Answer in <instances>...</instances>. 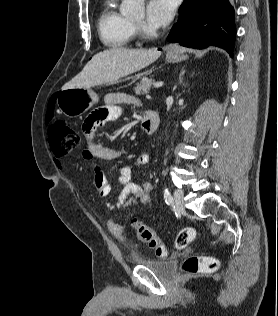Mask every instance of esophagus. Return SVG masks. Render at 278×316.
<instances>
[{"mask_svg": "<svg viewBox=\"0 0 278 316\" xmlns=\"http://www.w3.org/2000/svg\"><path fill=\"white\" fill-rule=\"evenodd\" d=\"M177 51V48L175 45H171L170 47H168L167 49V54H175Z\"/></svg>", "mask_w": 278, "mask_h": 316, "instance_id": "esophagus-1", "label": "esophagus"}]
</instances>
